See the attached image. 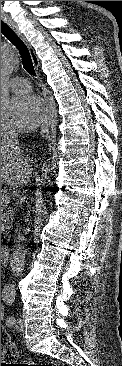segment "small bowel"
I'll list each match as a JSON object with an SVG mask.
<instances>
[{
    "label": "small bowel",
    "instance_id": "small-bowel-1",
    "mask_svg": "<svg viewBox=\"0 0 122 366\" xmlns=\"http://www.w3.org/2000/svg\"><path fill=\"white\" fill-rule=\"evenodd\" d=\"M3 316V306L1 305V318Z\"/></svg>",
    "mask_w": 122,
    "mask_h": 366
}]
</instances>
